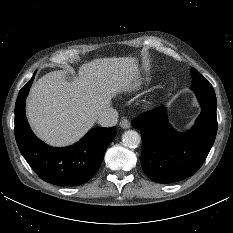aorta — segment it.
Instances as JSON below:
<instances>
[{
    "instance_id": "obj_1",
    "label": "aorta",
    "mask_w": 233,
    "mask_h": 233,
    "mask_svg": "<svg viewBox=\"0 0 233 233\" xmlns=\"http://www.w3.org/2000/svg\"><path fill=\"white\" fill-rule=\"evenodd\" d=\"M122 141L126 147L135 148L141 142V136L134 130H127L122 136Z\"/></svg>"
}]
</instances>
